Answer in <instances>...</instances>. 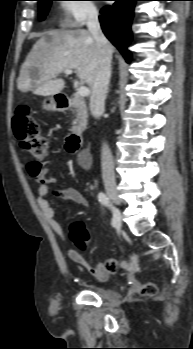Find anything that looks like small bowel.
Returning <instances> with one entry per match:
<instances>
[{"instance_id":"obj_1","label":"small bowel","mask_w":193,"mask_h":349,"mask_svg":"<svg viewBox=\"0 0 193 349\" xmlns=\"http://www.w3.org/2000/svg\"><path fill=\"white\" fill-rule=\"evenodd\" d=\"M79 163L84 169H89L92 163V158L89 154L79 158ZM29 174L38 183L37 204L40 207L44 218L50 227L63 239L66 240V234L55 216V211L49 202L51 193L50 186L54 183L53 177L49 174V169L44 163L31 162L28 164ZM56 196L61 199L73 202L75 204L86 207L87 201L84 196L74 188H63L54 191ZM69 258L77 265L85 267L91 275L100 283L106 282L110 273L117 271V263L112 259H106L97 264L89 263L86 258L76 250L68 251Z\"/></svg>"}]
</instances>
